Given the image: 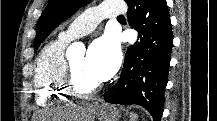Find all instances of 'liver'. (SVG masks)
Segmentation results:
<instances>
[{"label": "liver", "instance_id": "6515ba94", "mask_svg": "<svg viewBox=\"0 0 217 121\" xmlns=\"http://www.w3.org/2000/svg\"><path fill=\"white\" fill-rule=\"evenodd\" d=\"M96 104H88L83 107L72 106L65 110H60L54 113V116L62 117L63 119H69V121H92V115L95 111ZM53 114H49V116ZM48 116V114H47ZM44 118V117H43ZM46 119V118H44Z\"/></svg>", "mask_w": 217, "mask_h": 121}]
</instances>
